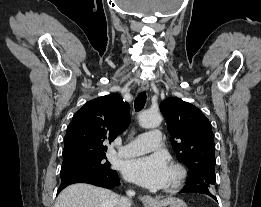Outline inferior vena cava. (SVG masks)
<instances>
[{
    "label": "inferior vena cava",
    "mask_w": 261,
    "mask_h": 207,
    "mask_svg": "<svg viewBox=\"0 0 261 207\" xmlns=\"http://www.w3.org/2000/svg\"><path fill=\"white\" fill-rule=\"evenodd\" d=\"M135 195L133 190L127 191V197H121L119 199L118 207H130L131 206V197Z\"/></svg>",
    "instance_id": "1"
}]
</instances>
